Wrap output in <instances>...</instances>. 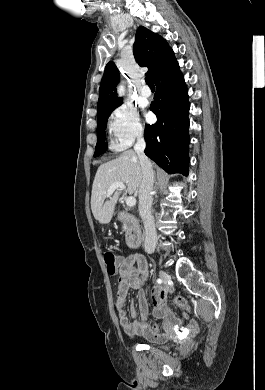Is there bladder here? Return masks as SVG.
<instances>
[{"instance_id":"1","label":"bladder","mask_w":265,"mask_h":390,"mask_svg":"<svg viewBox=\"0 0 265 390\" xmlns=\"http://www.w3.org/2000/svg\"><path fill=\"white\" fill-rule=\"evenodd\" d=\"M147 343L148 344H152V345H155L159 348H163V349H167L169 347V344L168 343H164V342H158L156 340H151V339H147Z\"/></svg>"}]
</instances>
